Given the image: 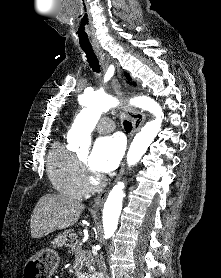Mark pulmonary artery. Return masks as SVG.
<instances>
[{
	"instance_id": "pulmonary-artery-1",
	"label": "pulmonary artery",
	"mask_w": 221,
	"mask_h": 278,
	"mask_svg": "<svg viewBox=\"0 0 221 278\" xmlns=\"http://www.w3.org/2000/svg\"><path fill=\"white\" fill-rule=\"evenodd\" d=\"M97 129L100 133H108L114 129V123L109 118H103L99 121Z\"/></svg>"
}]
</instances>
